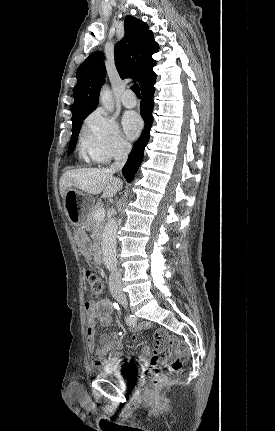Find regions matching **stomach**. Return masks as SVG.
Here are the masks:
<instances>
[{"instance_id": "1", "label": "stomach", "mask_w": 275, "mask_h": 431, "mask_svg": "<svg viewBox=\"0 0 275 431\" xmlns=\"http://www.w3.org/2000/svg\"><path fill=\"white\" fill-rule=\"evenodd\" d=\"M93 204L94 200L91 197L76 189L70 188L65 193L64 210L70 223L76 227L86 224Z\"/></svg>"}]
</instances>
